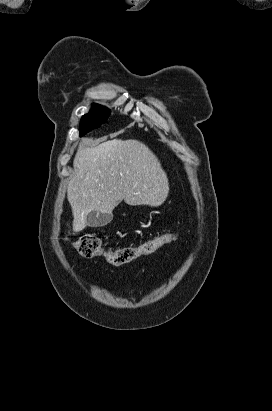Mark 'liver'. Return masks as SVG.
Masks as SVG:
<instances>
[{"label":"liver","mask_w":272,"mask_h":411,"mask_svg":"<svg viewBox=\"0 0 272 411\" xmlns=\"http://www.w3.org/2000/svg\"><path fill=\"white\" fill-rule=\"evenodd\" d=\"M67 199L72 208L73 231L87 226L96 210L111 214L124 200L131 206L158 207L169 193V183L158 158L138 140L113 139L95 147L80 143Z\"/></svg>","instance_id":"1"}]
</instances>
